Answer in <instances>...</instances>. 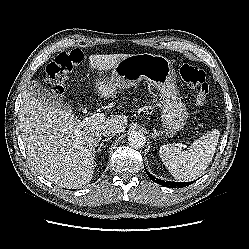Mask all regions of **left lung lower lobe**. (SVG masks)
<instances>
[{
    "label": "left lung lower lobe",
    "mask_w": 249,
    "mask_h": 249,
    "mask_svg": "<svg viewBox=\"0 0 249 249\" xmlns=\"http://www.w3.org/2000/svg\"><path fill=\"white\" fill-rule=\"evenodd\" d=\"M145 170H146V168H145ZM146 173H147V175L149 176V178L153 181V182H155V183H157V184H161V185H163V186H166V187H169V188H182V187H185V186H187V185H189V184H192L193 182H171V181H164V180H159V179H157V178H155L154 176H152L151 174H149L147 171H146Z\"/></svg>",
    "instance_id": "left-lung-lower-lobe-1"
}]
</instances>
